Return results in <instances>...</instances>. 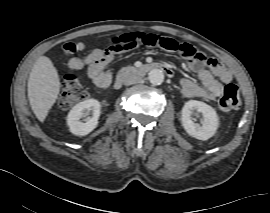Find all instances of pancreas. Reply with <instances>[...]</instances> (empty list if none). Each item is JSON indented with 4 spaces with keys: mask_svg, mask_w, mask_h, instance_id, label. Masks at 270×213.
<instances>
[{
    "mask_svg": "<svg viewBox=\"0 0 270 213\" xmlns=\"http://www.w3.org/2000/svg\"><path fill=\"white\" fill-rule=\"evenodd\" d=\"M128 68H123V69H121V73H123L124 71H126ZM130 69H133V68H130Z\"/></svg>",
    "mask_w": 270,
    "mask_h": 213,
    "instance_id": "cf45deb5",
    "label": "pancreas"
}]
</instances>
